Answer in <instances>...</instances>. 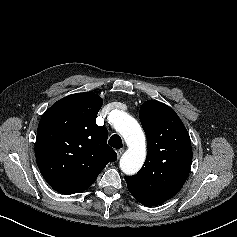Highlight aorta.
<instances>
[{
  "instance_id": "aorta-1",
  "label": "aorta",
  "mask_w": 237,
  "mask_h": 237,
  "mask_svg": "<svg viewBox=\"0 0 237 237\" xmlns=\"http://www.w3.org/2000/svg\"><path fill=\"white\" fill-rule=\"evenodd\" d=\"M114 128L119 132L127 146V151L120 159V168L127 174L132 175L140 170L146 158V139L138 122L123 111L114 110Z\"/></svg>"
}]
</instances>
